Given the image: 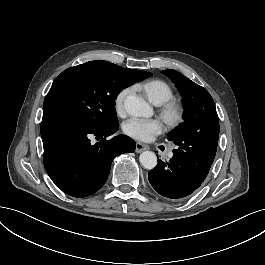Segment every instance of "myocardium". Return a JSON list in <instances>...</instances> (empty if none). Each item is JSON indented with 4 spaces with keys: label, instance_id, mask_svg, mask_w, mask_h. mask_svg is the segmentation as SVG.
Listing matches in <instances>:
<instances>
[{
    "label": "myocardium",
    "instance_id": "obj_1",
    "mask_svg": "<svg viewBox=\"0 0 265 265\" xmlns=\"http://www.w3.org/2000/svg\"><path fill=\"white\" fill-rule=\"evenodd\" d=\"M160 115L170 129H177L186 120V109L176 99H169L161 104Z\"/></svg>",
    "mask_w": 265,
    "mask_h": 265
}]
</instances>
